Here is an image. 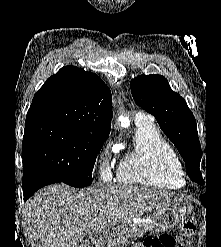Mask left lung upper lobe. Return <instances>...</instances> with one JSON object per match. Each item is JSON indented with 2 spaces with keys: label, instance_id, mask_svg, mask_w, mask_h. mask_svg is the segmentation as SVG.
Segmentation results:
<instances>
[{
  "label": "left lung upper lobe",
  "instance_id": "5c2ea615",
  "mask_svg": "<svg viewBox=\"0 0 221 247\" xmlns=\"http://www.w3.org/2000/svg\"><path fill=\"white\" fill-rule=\"evenodd\" d=\"M135 103L152 114L162 131L174 143L192 181L202 184L199 169L201 146L196 120L186 101L171 90L162 75H140L130 82Z\"/></svg>",
  "mask_w": 221,
  "mask_h": 247
}]
</instances>
